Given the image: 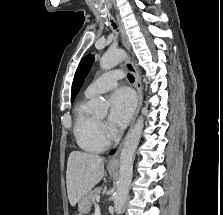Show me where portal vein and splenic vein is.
Returning <instances> with one entry per match:
<instances>
[{
  "mask_svg": "<svg viewBox=\"0 0 223 215\" xmlns=\"http://www.w3.org/2000/svg\"><path fill=\"white\" fill-rule=\"evenodd\" d=\"M101 194H98V197H96V201H100ZM100 205L98 203H95V209H99Z\"/></svg>",
  "mask_w": 223,
  "mask_h": 215,
  "instance_id": "18ae733b",
  "label": "portal vein and splenic vein"
}]
</instances>
